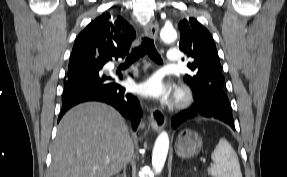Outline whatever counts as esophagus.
Listing matches in <instances>:
<instances>
[{
    "label": "esophagus",
    "instance_id": "obj_1",
    "mask_svg": "<svg viewBox=\"0 0 287 177\" xmlns=\"http://www.w3.org/2000/svg\"><path fill=\"white\" fill-rule=\"evenodd\" d=\"M159 27L157 23L150 22L145 27L146 35L151 39H156L158 36ZM151 114V127L155 132H159L165 125L166 116L164 113L157 107L150 108Z\"/></svg>",
    "mask_w": 287,
    "mask_h": 177
}]
</instances>
